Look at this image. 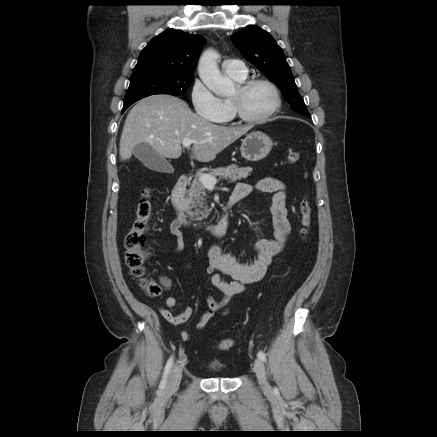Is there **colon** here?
I'll return each mask as SVG.
<instances>
[{
    "mask_svg": "<svg viewBox=\"0 0 437 437\" xmlns=\"http://www.w3.org/2000/svg\"><path fill=\"white\" fill-rule=\"evenodd\" d=\"M287 161L290 164H295L300 159V153L295 149H288ZM153 213V203L149 190L142 192L141 199L138 202L135 219L130 230L124 237V247L126 250L125 262L128 266L131 275L139 280L141 287L145 293L154 297L160 294L161 286L152 278L148 277L145 263L149 257V251L146 246V234L150 228V220ZM312 211L308 200L304 199L300 203V235L302 239H306L311 226ZM234 341L231 338H225L220 341L219 348L221 350H229L233 346Z\"/></svg>",
    "mask_w": 437,
    "mask_h": 437,
    "instance_id": "5ec220e1",
    "label": "colon"
}]
</instances>
